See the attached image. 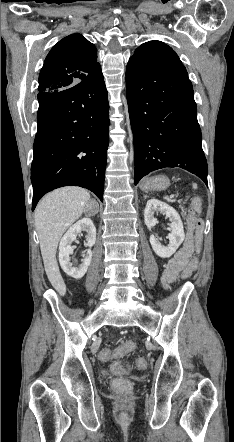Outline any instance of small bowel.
Masks as SVG:
<instances>
[{
  "label": "small bowel",
  "instance_id": "small-bowel-1",
  "mask_svg": "<svg viewBox=\"0 0 234 442\" xmlns=\"http://www.w3.org/2000/svg\"><path fill=\"white\" fill-rule=\"evenodd\" d=\"M190 241H187L183 247L174 255V257L167 263L162 282L165 287H168L177 277V275L185 270L188 261L192 260Z\"/></svg>",
  "mask_w": 234,
  "mask_h": 442
}]
</instances>
